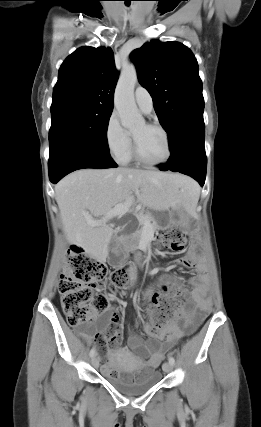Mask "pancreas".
<instances>
[{
    "instance_id": "obj_1",
    "label": "pancreas",
    "mask_w": 261,
    "mask_h": 427,
    "mask_svg": "<svg viewBox=\"0 0 261 427\" xmlns=\"http://www.w3.org/2000/svg\"><path fill=\"white\" fill-rule=\"evenodd\" d=\"M143 216H144V220H143V221H140V220H139L140 225H143L145 222H147V223L150 225V228H151L152 232H154V231L156 230V225H155V224H151V221H153L152 216H151L150 214H148V213L144 214ZM143 229H144V228H143V227H141V228L138 230V232H137V237H138V238L141 236V234H142V232H143Z\"/></svg>"
}]
</instances>
